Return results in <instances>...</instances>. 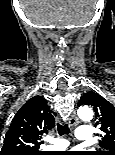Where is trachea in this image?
I'll list each match as a JSON object with an SVG mask.
<instances>
[{"mask_svg": "<svg viewBox=\"0 0 115 155\" xmlns=\"http://www.w3.org/2000/svg\"><path fill=\"white\" fill-rule=\"evenodd\" d=\"M57 130L60 136L70 133V129L67 124L57 123Z\"/></svg>", "mask_w": 115, "mask_h": 155, "instance_id": "obj_1", "label": "trachea"}]
</instances>
